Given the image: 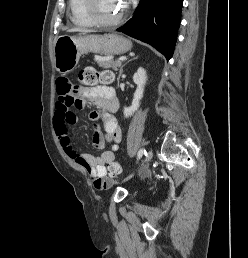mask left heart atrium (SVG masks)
<instances>
[{
    "instance_id": "39dd6f15",
    "label": "left heart atrium",
    "mask_w": 248,
    "mask_h": 258,
    "mask_svg": "<svg viewBox=\"0 0 248 258\" xmlns=\"http://www.w3.org/2000/svg\"><path fill=\"white\" fill-rule=\"evenodd\" d=\"M122 5L125 6L127 4V0H120Z\"/></svg>"
}]
</instances>
